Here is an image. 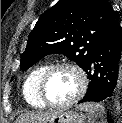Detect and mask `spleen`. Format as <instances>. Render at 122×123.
Returning a JSON list of instances; mask_svg holds the SVG:
<instances>
[{
    "label": "spleen",
    "mask_w": 122,
    "mask_h": 123,
    "mask_svg": "<svg viewBox=\"0 0 122 123\" xmlns=\"http://www.w3.org/2000/svg\"><path fill=\"white\" fill-rule=\"evenodd\" d=\"M77 109L86 112L88 123H107L105 108L101 104L88 102L77 106Z\"/></svg>",
    "instance_id": "1"
}]
</instances>
